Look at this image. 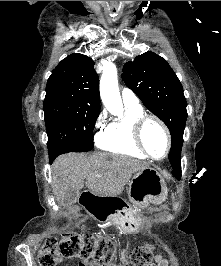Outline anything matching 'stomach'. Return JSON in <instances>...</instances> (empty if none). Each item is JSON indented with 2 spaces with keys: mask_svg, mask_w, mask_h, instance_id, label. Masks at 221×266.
<instances>
[{
  "mask_svg": "<svg viewBox=\"0 0 221 266\" xmlns=\"http://www.w3.org/2000/svg\"><path fill=\"white\" fill-rule=\"evenodd\" d=\"M133 208L118 212L117 216L129 226L138 228L142 219L137 209L160 205L167 197L168 189L161 173L152 167L136 172L127 188Z\"/></svg>",
  "mask_w": 221,
  "mask_h": 266,
  "instance_id": "1",
  "label": "stomach"
}]
</instances>
